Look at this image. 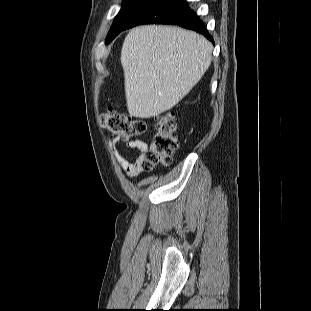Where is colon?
I'll return each instance as SVG.
<instances>
[{
    "mask_svg": "<svg viewBox=\"0 0 311 311\" xmlns=\"http://www.w3.org/2000/svg\"><path fill=\"white\" fill-rule=\"evenodd\" d=\"M100 124L113 134L125 138L135 137L146 131V123L128 115L109 110L100 116ZM179 146L176 136V122L172 113H165L157 118L150 149L143 161L142 169L151 170L159 164H168Z\"/></svg>",
    "mask_w": 311,
    "mask_h": 311,
    "instance_id": "1",
    "label": "colon"
}]
</instances>
